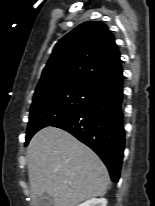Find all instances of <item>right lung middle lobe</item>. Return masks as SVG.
<instances>
[{
  "mask_svg": "<svg viewBox=\"0 0 155 206\" xmlns=\"http://www.w3.org/2000/svg\"><path fill=\"white\" fill-rule=\"evenodd\" d=\"M101 93L97 89L84 85L35 93L30 108L25 145L37 131L72 116L89 105Z\"/></svg>",
  "mask_w": 155,
  "mask_h": 206,
  "instance_id": "dd1d6c3e",
  "label": "right lung middle lobe"
}]
</instances>
